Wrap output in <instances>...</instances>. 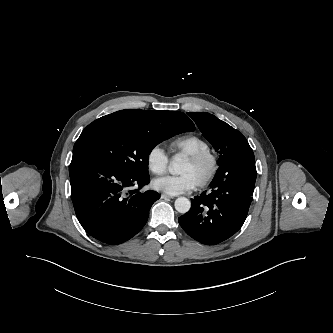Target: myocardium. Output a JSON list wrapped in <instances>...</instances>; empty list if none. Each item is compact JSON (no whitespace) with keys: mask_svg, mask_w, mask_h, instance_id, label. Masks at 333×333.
Here are the masks:
<instances>
[{"mask_svg":"<svg viewBox=\"0 0 333 333\" xmlns=\"http://www.w3.org/2000/svg\"><path fill=\"white\" fill-rule=\"evenodd\" d=\"M186 160L189 161L192 164H206L207 165V171L205 176L197 183V186L199 188H203L211 183L213 178L215 177L218 168L219 163L217 157L208 151H202L195 154H191L186 156Z\"/></svg>","mask_w":333,"mask_h":333,"instance_id":"1","label":"myocardium"}]
</instances>
